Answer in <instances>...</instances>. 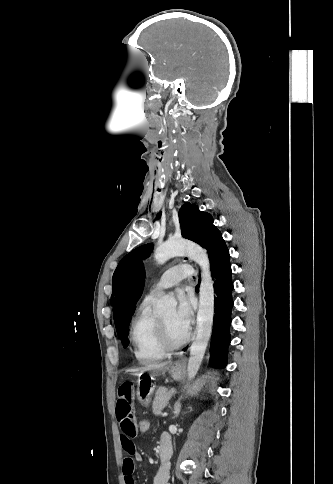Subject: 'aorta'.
I'll return each instance as SVG.
<instances>
[{"label": "aorta", "mask_w": 333, "mask_h": 484, "mask_svg": "<svg viewBox=\"0 0 333 484\" xmlns=\"http://www.w3.org/2000/svg\"><path fill=\"white\" fill-rule=\"evenodd\" d=\"M186 254L201 268V283L199 290V310L197 313L196 337L190 347L187 372L189 380L193 379L202 363L207 348L213 324L214 315V287L210 272V262L205 249L198 244L178 239H169L157 246L154 258L158 264H163L170 258ZM175 297L163 295L157 304L161 313L172 312L176 309Z\"/></svg>", "instance_id": "762f6f07"}]
</instances>
